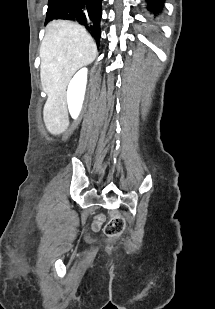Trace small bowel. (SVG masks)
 Listing matches in <instances>:
<instances>
[{
    "label": "small bowel",
    "mask_w": 215,
    "mask_h": 309,
    "mask_svg": "<svg viewBox=\"0 0 215 309\" xmlns=\"http://www.w3.org/2000/svg\"><path fill=\"white\" fill-rule=\"evenodd\" d=\"M103 220H104L103 216H99V217L97 218V221H99L98 227L100 226V224H101V222H102Z\"/></svg>",
    "instance_id": "obj_1"
}]
</instances>
